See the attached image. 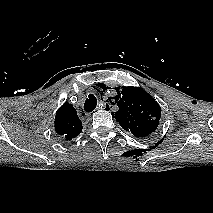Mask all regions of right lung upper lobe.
Instances as JSON below:
<instances>
[{"label":"right lung upper lobe","instance_id":"cb5924a9","mask_svg":"<svg viewBox=\"0 0 213 213\" xmlns=\"http://www.w3.org/2000/svg\"><path fill=\"white\" fill-rule=\"evenodd\" d=\"M82 123L75 108L65 102L56 112L55 131L62 140H71L82 131Z\"/></svg>","mask_w":213,"mask_h":213}]
</instances>
